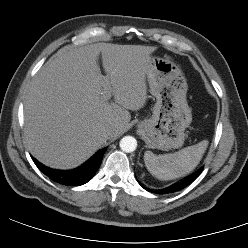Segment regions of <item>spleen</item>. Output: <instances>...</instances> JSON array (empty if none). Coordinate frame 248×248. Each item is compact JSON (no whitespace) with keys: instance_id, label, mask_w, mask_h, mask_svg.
I'll use <instances>...</instances> for the list:
<instances>
[{"instance_id":"1","label":"spleen","mask_w":248,"mask_h":248,"mask_svg":"<svg viewBox=\"0 0 248 248\" xmlns=\"http://www.w3.org/2000/svg\"><path fill=\"white\" fill-rule=\"evenodd\" d=\"M208 141L203 140L195 145L165 155H155L146 151L144 161L148 171L160 180H172L187 175L199 164Z\"/></svg>"}]
</instances>
